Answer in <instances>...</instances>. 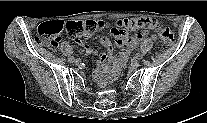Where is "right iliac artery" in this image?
I'll return each instance as SVG.
<instances>
[{"label": "right iliac artery", "instance_id": "right-iliac-artery-1", "mask_svg": "<svg viewBox=\"0 0 207 123\" xmlns=\"http://www.w3.org/2000/svg\"><path fill=\"white\" fill-rule=\"evenodd\" d=\"M74 59H75V58L72 57V56L68 57V61H69V62H72Z\"/></svg>", "mask_w": 207, "mask_h": 123}]
</instances>
